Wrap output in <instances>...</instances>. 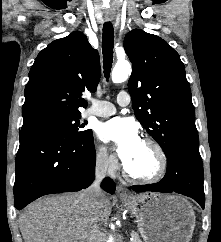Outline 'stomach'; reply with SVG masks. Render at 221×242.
I'll return each mask as SVG.
<instances>
[{"label": "stomach", "instance_id": "stomach-1", "mask_svg": "<svg viewBox=\"0 0 221 242\" xmlns=\"http://www.w3.org/2000/svg\"><path fill=\"white\" fill-rule=\"evenodd\" d=\"M121 201L137 218L144 242H189L191 239L195 214L183 197L142 193Z\"/></svg>", "mask_w": 221, "mask_h": 242}]
</instances>
